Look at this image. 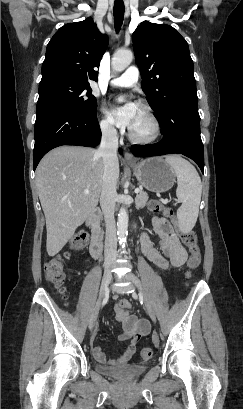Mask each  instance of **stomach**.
<instances>
[{"mask_svg":"<svg viewBox=\"0 0 243 409\" xmlns=\"http://www.w3.org/2000/svg\"><path fill=\"white\" fill-rule=\"evenodd\" d=\"M139 183L148 191L161 193L175 183L174 169L161 157H152L137 164H130Z\"/></svg>","mask_w":243,"mask_h":409,"instance_id":"obj_1","label":"stomach"}]
</instances>
